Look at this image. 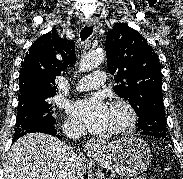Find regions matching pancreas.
Returning a JSON list of instances; mask_svg holds the SVG:
<instances>
[{
  "mask_svg": "<svg viewBox=\"0 0 183 179\" xmlns=\"http://www.w3.org/2000/svg\"><path fill=\"white\" fill-rule=\"evenodd\" d=\"M134 179H146V178L143 177V176H139V177H136V178H134Z\"/></svg>",
  "mask_w": 183,
  "mask_h": 179,
  "instance_id": "1",
  "label": "pancreas"
}]
</instances>
